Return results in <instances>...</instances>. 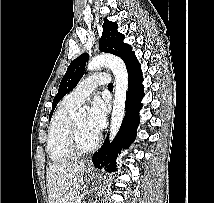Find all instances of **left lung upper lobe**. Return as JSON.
Wrapping results in <instances>:
<instances>
[{
    "instance_id": "obj_1",
    "label": "left lung upper lobe",
    "mask_w": 214,
    "mask_h": 203,
    "mask_svg": "<svg viewBox=\"0 0 214 203\" xmlns=\"http://www.w3.org/2000/svg\"><path fill=\"white\" fill-rule=\"evenodd\" d=\"M117 28L118 25L116 22L104 21L102 37L99 40L100 51L118 55L127 64L133 57L134 52L129 44L123 42L124 35L119 33ZM88 58V53H84L74 59L68 66L61 80L58 93L53 99L52 111L49 118H51L57 103L78 84L84 74Z\"/></svg>"
}]
</instances>
